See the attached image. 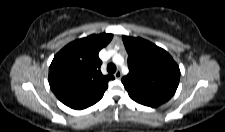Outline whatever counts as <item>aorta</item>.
<instances>
[{
	"mask_svg": "<svg viewBox=\"0 0 225 132\" xmlns=\"http://www.w3.org/2000/svg\"><path fill=\"white\" fill-rule=\"evenodd\" d=\"M118 57V61H116L117 63L119 62V59L121 58L119 55L117 56ZM115 58V57H114Z\"/></svg>",
	"mask_w": 225,
	"mask_h": 132,
	"instance_id": "1",
	"label": "aorta"
}]
</instances>
